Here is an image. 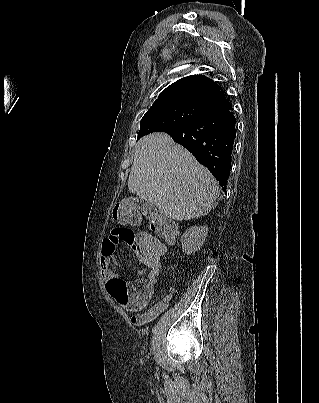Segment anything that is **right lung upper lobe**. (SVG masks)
<instances>
[{
	"mask_svg": "<svg viewBox=\"0 0 319 403\" xmlns=\"http://www.w3.org/2000/svg\"><path fill=\"white\" fill-rule=\"evenodd\" d=\"M189 102L208 108L211 113L231 110L232 105L220 86L202 75L184 77L168 86L154 104Z\"/></svg>",
	"mask_w": 319,
	"mask_h": 403,
	"instance_id": "1",
	"label": "right lung upper lobe"
}]
</instances>
